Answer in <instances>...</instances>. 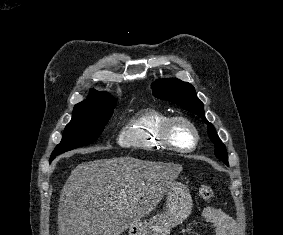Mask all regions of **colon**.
I'll use <instances>...</instances> for the list:
<instances>
[{
  "label": "colon",
  "mask_w": 283,
  "mask_h": 235,
  "mask_svg": "<svg viewBox=\"0 0 283 235\" xmlns=\"http://www.w3.org/2000/svg\"><path fill=\"white\" fill-rule=\"evenodd\" d=\"M199 195L203 200L207 202L214 199V191L209 185H201L199 188Z\"/></svg>",
  "instance_id": "obj_1"
}]
</instances>
